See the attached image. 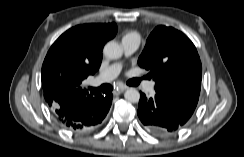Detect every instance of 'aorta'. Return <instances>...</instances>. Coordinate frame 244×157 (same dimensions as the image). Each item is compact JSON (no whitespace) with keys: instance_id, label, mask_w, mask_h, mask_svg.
Returning <instances> with one entry per match:
<instances>
[{"instance_id":"762f6f07","label":"aorta","mask_w":244,"mask_h":157,"mask_svg":"<svg viewBox=\"0 0 244 157\" xmlns=\"http://www.w3.org/2000/svg\"><path fill=\"white\" fill-rule=\"evenodd\" d=\"M103 51L105 56L109 59H119L123 54L122 47L114 41L108 42L104 46ZM124 97L128 102L137 103L140 99V93L135 88H129L125 91Z\"/></svg>"}]
</instances>
